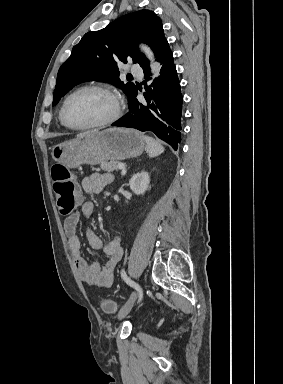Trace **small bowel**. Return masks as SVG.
Here are the masks:
<instances>
[{"instance_id": "small-bowel-1", "label": "small bowel", "mask_w": 283, "mask_h": 384, "mask_svg": "<svg viewBox=\"0 0 283 384\" xmlns=\"http://www.w3.org/2000/svg\"><path fill=\"white\" fill-rule=\"evenodd\" d=\"M113 180L109 173H93L82 179L83 190L88 194L100 193ZM94 213V204L85 201L81 204L80 211L70 214L64 220V231L68 238L69 248L74 265L82 282L91 288H109L114 282V270L123 256L121 239L114 237L109 243L102 239L91 229L86 230V238L89 245L95 250H101L106 255L104 263L90 262L81 252V240L77 233L80 216L90 219Z\"/></svg>"}]
</instances>
